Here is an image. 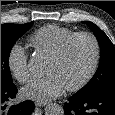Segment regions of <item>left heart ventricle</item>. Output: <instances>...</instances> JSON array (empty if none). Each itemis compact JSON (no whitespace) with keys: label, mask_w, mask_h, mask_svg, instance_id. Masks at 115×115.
<instances>
[{"label":"left heart ventricle","mask_w":115,"mask_h":115,"mask_svg":"<svg viewBox=\"0 0 115 115\" xmlns=\"http://www.w3.org/2000/svg\"><path fill=\"white\" fill-rule=\"evenodd\" d=\"M94 58L92 42L87 38L74 41L59 62L49 60L47 75L57 76L67 87L79 83L91 68Z\"/></svg>","instance_id":"1"}]
</instances>
